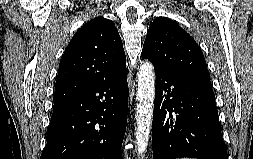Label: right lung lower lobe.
<instances>
[{
  "instance_id": "98d812e1",
  "label": "right lung lower lobe",
  "mask_w": 253,
  "mask_h": 159,
  "mask_svg": "<svg viewBox=\"0 0 253 159\" xmlns=\"http://www.w3.org/2000/svg\"><path fill=\"white\" fill-rule=\"evenodd\" d=\"M127 109L125 69L53 109L41 159H121Z\"/></svg>"
}]
</instances>
